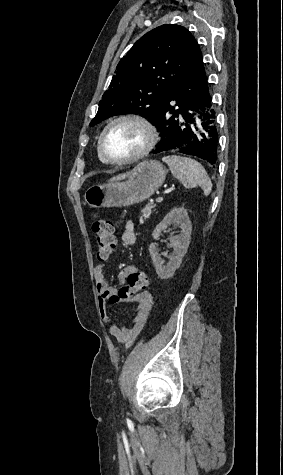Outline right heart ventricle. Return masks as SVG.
Segmentation results:
<instances>
[{
    "instance_id": "obj_1",
    "label": "right heart ventricle",
    "mask_w": 283,
    "mask_h": 475,
    "mask_svg": "<svg viewBox=\"0 0 283 475\" xmlns=\"http://www.w3.org/2000/svg\"><path fill=\"white\" fill-rule=\"evenodd\" d=\"M96 155H97V158H98V160H99L100 162H105V161L102 159V157L100 156L97 146H96Z\"/></svg>"
}]
</instances>
